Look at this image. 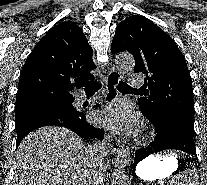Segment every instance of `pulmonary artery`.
<instances>
[{
  "label": "pulmonary artery",
  "instance_id": "1",
  "mask_svg": "<svg viewBox=\"0 0 207 185\" xmlns=\"http://www.w3.org/2000/svg\"><path fill=\"white\" fill-rule=\"evenodd\" d=\"M129 86H143L142 77H128Z\"/></svg>",
  "mask_w": 207,
  "mask_h": 185
}]
</instances>
